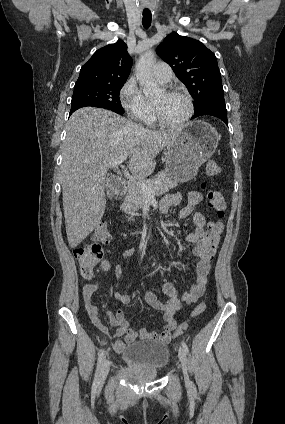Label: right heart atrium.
Returning a JSON list of instances; mask_svg holds the SVG:
<instances>
[{"instance_id": "right-heart-atrium-1", "label": "right heart atrium", "mask_w": 285, "mask_h": 424, "mask_svg": "<svg viewBox=\"0 0 285 424\" xmlns=\"http://www.w3.org/2000/svg\"><path fill=\"white\" fill-rule=\"evenodd\" d=\"M119 100L125 112L134 120L147 122L152 107L138 87L135 78H129L119 91Z\"/></svg>"}]
</instances>
